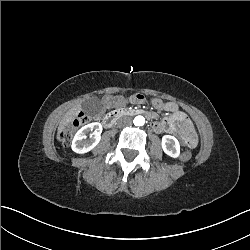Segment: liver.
Instances as JSON below:
<instances>
[{"label":"liver","mask_w":250,"mask_h":250,"mask_svg":"<svg viewBox=\"0 0 250 250\" xmlns=\"http://www.w3.org/2000/svg\"><path fill=\"white\" fill-rule=\"evenodd\" d=\"M82 110L81 104H77L75 107L71 108L69 111L66 112L63 119L59 124V130H64L65 127L73 121L75 117L78 116L79 112Z\"/></svg>","instance_id":"obj_1"}]
</instances>
